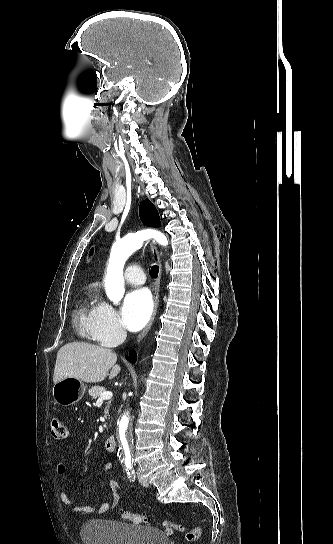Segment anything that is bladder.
<instances>
[{"mask_svg": "<svg viewBox=\"0 0 333 544\" xmlns=\"http://www.w3.org/2000/svg\"><path fill=\"white\" fill-rule=\"evenodd\" d=\"M80 537L83 544H169L168 536L158 528L107 519L86 521Z\"/></svg>", "mask_w": 333, "mask_h": 544, "instance_id": "1", "label": "bladder"}]
</instances>
